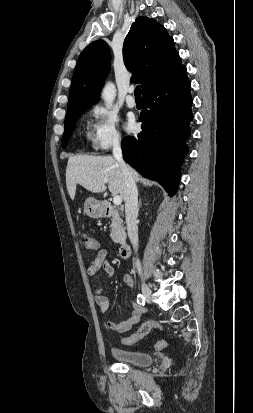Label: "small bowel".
Returning <instances> with one entry per match:
<instances>
[{
    "label": "small bowel",
    "mask_w": 253,
    "mask_h": 413,
    "mask_svg": "<svg viewBox=\"0 0 253 413\" xmlns=\"http://www.w3.org/2000/svg\"><path fill=\"white\" fill-rule=\"evenodd\" d=\"M100 270H103L107 276L111 277L114 274L113 267L107 261V253L104 249H101L96 254L95 258L90 263L87 273L89 276L96 275ZM123 282L126 286H133V279L130 275L126 274L123 276ZM95 301L102 313H107L110 309V304L108 298L102 294V289L98 288L96 290ZM143 313V309L137 305L133 304V311L131 316L121 322L107 321L105 326L108 330L115 331L118 333H123L130 330L134 325H136Z\"/></svg>",
    "instance_id": "obj_1"
}]
</instances>
